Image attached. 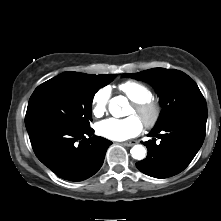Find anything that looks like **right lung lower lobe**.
<instances>
[{
    "label": "right lung lower lobe",
    "instance_id": "98d812e1",
    "mask_svg": "<svg viewBox=\"0 0 221 221\" xmlns=\"http://www.w3.org/2000/svg\"><path fill=\"white\" fill-rule=\"evenodd\" d=\"M26 129L38 159L58 177L69 181H82L97 173L112 144L92 136V128L77 130L55 122H37Z\"/></svg>",
    "mask_w": 221,
    "mask_h": 221
}]
</instances>
